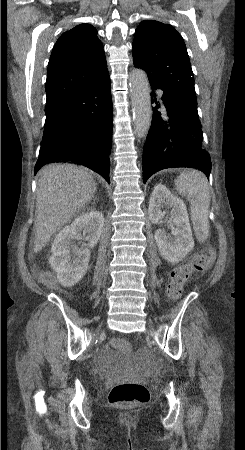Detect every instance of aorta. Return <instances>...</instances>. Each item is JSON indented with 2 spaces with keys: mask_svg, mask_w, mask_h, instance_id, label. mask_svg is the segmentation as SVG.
I'll list each match as a JSON object with an SVG mask.
<instances>
[{
  "mask_svg": "<svg viewBox=\"0 0 245 450\" xmlns=\"http://www.w3.org/2000/svg\"><path fill=\"white\" fill-rule=\"evenodd\" d=\"M129 82L134 131L139 138H142L148 133L152 114L148 77L143 70L134 69L130 74Z\"/></svg>",
  "mask_w": 245,
  "mask_h": 450,
  "instance_id": "aorta-1",
  "label": "aorta"
}]
</instances>
